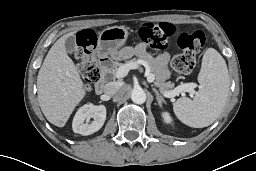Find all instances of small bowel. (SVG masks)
Listing matches in <instances>:
<instances>
[{"instance_id":"1","label":"small bowel","mask_w":256,"mask_h":171,"mask_svg":"<svg viewBox=\"0 0 256 171\" xmlns=\"http://www.w3.org/2000/svg\"><path fill=\"white\" fill-rule=\"evenodd\" d=\"M146 50L147 48L144 44H139L133 48V52L138 56H145ZM169 58V54L166 52H160L156 54L154 64L158 72V77L161 80L166 79L169 75V71L167 69Z\"/></svg>"}]
</instances>
